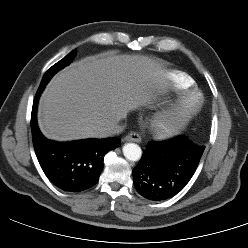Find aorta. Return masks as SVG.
Wrapping results in <instances>:
<instances>
[{
  "label": "aorta",
  "instance_id": "aorta-1",
  "mask_svg": "<svg viewBox=\"0 0 248 248\" xmlns=\"http://www.w3.org/2000/svg\"><path fill=\"white\" fill-rule=\"evenodd\" d=\"M123 154L130 161H138L142 156V150L135 143H127L123 146Z\"/></svg>",
  "mask_w": 248,
  "mask_h": 248
}]
</instances>
